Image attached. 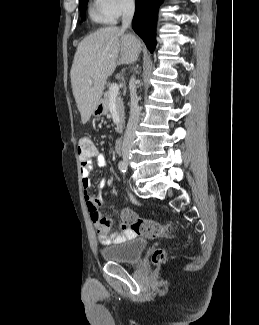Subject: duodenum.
Here are the masks:
<instances>
[{"mask_svg": "<svg viewBox=\"0 0 259 325\" xmlns=\"http://www.w3.org/2000/svg\"><path fill=\"white\" fill-rule=\"evenodd\" d=\"M115 151L121 153L123 151V139L120 138L115 142Z\"/></svg>", "mask_w": 259, "mask_h": 325, "instance_id": "obj_1", "label": "duodenum"}]
</instances>
